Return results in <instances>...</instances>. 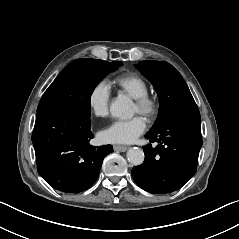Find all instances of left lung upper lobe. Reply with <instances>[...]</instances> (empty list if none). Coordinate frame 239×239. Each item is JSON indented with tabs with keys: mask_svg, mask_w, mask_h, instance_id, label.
<instances>
[{
	"mask_svg": "<svg viewBox=\"0 0 239 239\" xmlns=\"http://www.w3.org/2000/svg\"><path fill=\"white\" fill-rule=\"evenodd\" d=\"M136 67L154 85L159 96V117L151 130L161 126L176 112L197 108L183 77L172 65L160 61H141Z\"/></svg>",
	"mask_w": 239,
	"mask_h": 239,
	"instance_id": "obj_1",
	"label": "left lung upper lobe"
}]
</instances>
